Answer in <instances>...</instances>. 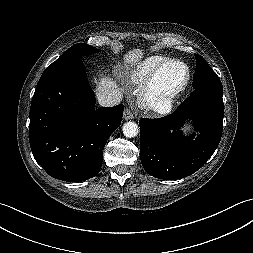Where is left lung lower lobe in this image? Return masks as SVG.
Masks as SVG:
<instances>
[{"instance_id":"left-lung-lower-lobe-1","label":"left lung lower lobe","mask_w":253,"mask_h":253,"mask_svg":"<svg viewBox=\"0 0 253 253\" xmlns=\"http://www.w3.org/2000/svg\"><path fill=\"white\" fill-rule=\"evenodd\" d=\"M223 89L200 87L168 116L139 121L140 157L145 171L159 179L187 177L212 156L223 130ZM192 119L199 134L184 137L183 123Z\"/></svg>"}]
</instances>
